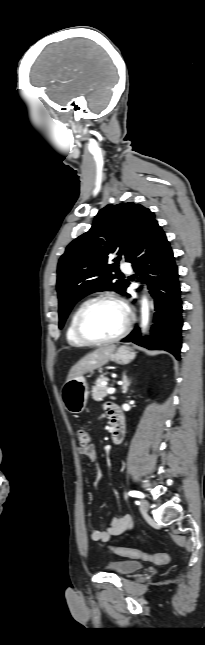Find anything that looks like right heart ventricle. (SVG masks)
I'll use <instances>...</instances> for the list:
<instances>
[{"label":"right heart ventricle","instance_id":"e07e8e85","mask_svg":"<svg viewBox=\"0 0 205 645\" xmlns=\"http://www.w3.org/2000/svg\"><path fill=\"white\" fill-rule=\"evenodd\" d=\"M82 305L83 304H80L79 306H77L74 309V311L72 312V314L70 316V319L68 321L67 328H66V340H67V343L69 345L73 346V347H82V346L86 345L83 341H81L78 338V336H77V334L75 332L76 316H77V313H78V311H79V309L81 308Z\"/></svg>","mask_w":205,"mask_h":645}]
</instances>
